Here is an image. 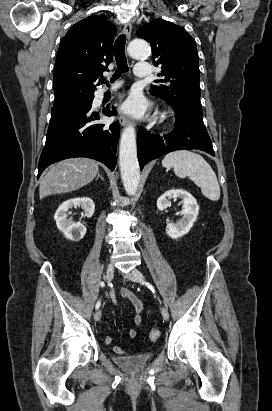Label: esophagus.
<instances>
[{
  "mask_svg": "<svg viewBox=\"0 0 272 411\" xmlns=\"http://www.w3.org/2000/svg\"><path fill=\"white\" fill-rule=\"evenodd\" d=\"M123 31H124L125 35L127 36V38L130 39L131 32H132V25H131L130 22L125 23ZM119 122H120L121 126H126L129 123V120L124 115H120Z\"/></svg>",
  "mask_w": 272,
  "mask_h": 411,
  "instance_id": "1",
  "label": "esophagus"
}]
</instances>
